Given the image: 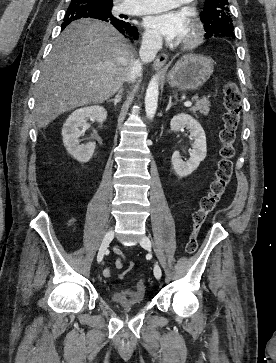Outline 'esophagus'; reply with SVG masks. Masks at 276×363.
<instances>
[{
    "instance_id": "1",
    "label": "esophagus",
    "mask_w": 276,
    "mask_h": 363,
    "mask_svg": "<svg viewBox=\"0 0 276 363\" xmlns=\"http://www.w3.org/2000/svg\"><path fill=\"white\" fill-rule=\"evenodd\" d=\"M168 55L164 52L160 53L158 57L155 59L153 67L156 71H161L167 61Z\"/></svg>"
}]
</instances>
